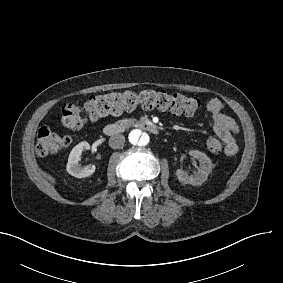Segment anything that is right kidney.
<instances>
[{
	"label": "right kidney",
	"mask_w": 283,
	"mask_h": 283,
	"mask_svg": "<svg viewBox=\"0 0 283 283\" xmlns=\"http://www.w3.org/2000/svg\"><path fill=\"white\" fill-rule=\"evenodd\" d=\"M91 146L88 142L84 141L77 144L69 155L67 163V172L74 177H86L94 173L95 164L90 163L87 166L81 167L79 165L80 155L86 150H90Z\"/></svg>",
	"instance_id": "obj_1"
}]
</instances>
